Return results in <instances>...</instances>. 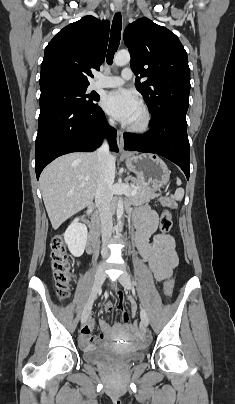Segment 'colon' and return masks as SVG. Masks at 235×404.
<instances>
[{
  "label": "colon",
  "instance_id": "5ec220e1",
  "mask_svg": "<svg viewBox=\"0 0 235 404\" xmlns=\"http://www.w3.org/2000/svg\"><path fill=\"white\" fill-rule=\"evenodd\" d=\"M162 205L169 208H176V203L170 198L163 197L160 199ZM172 227V214L170 210H165L160 218V231L162 234H166ZM51 260L53 277L55 281L57 295L61 300H65L69 297V286L71 281L70 264L67 256V249L65 241L62 236H55L51 242ZM174 287V278L169 275L165 281L164 293L165 297L169 298L172 294ZM124 320L127 322L129 316L127 313L123 315ZM134 328L138 327V324L133 325Z\"/></svg>",
  "mask_w": 235,
  "mask_h": 404
}]
</instances>
